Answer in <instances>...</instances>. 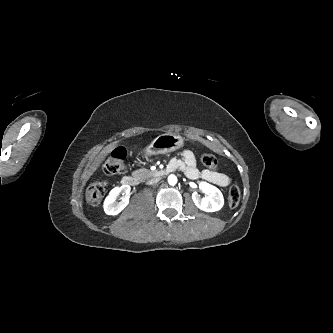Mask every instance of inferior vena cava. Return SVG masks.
Listing matches in <instances>:
<instances>
[{"label": "inferior vena cava", "mask_w": 333, "mask_h": 333, "mask_svg": "<svg viewBox=\"0 0 333 333\" xmlns=\"http://www.w3.org/2000/svg\"><path fill=\"white\" fill-rule=\"evenodd\" d=\"M160 180V178H153L147 182V184L152 185L157 183Z\"/></svg>", "instance_id": "1"}]
</instances>
